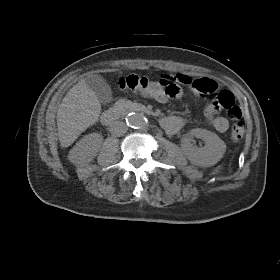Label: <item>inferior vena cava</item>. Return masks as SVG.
Returning a JSON list of instances; mask_svg holds the SVG:
<instances>
[{
	"label": "inferior vena cava",
	"mask_w": 280,
	"mask_h": 280,
	"mask_svg": "<svg viewBox=\"0 0 280 280\" xmlns=\"http://www.w3.org/2000/svg\"><path fill=\"white\" fill-rule=\"evenodd\" d=\"M127 130H128L127 125L124 122H120V121H115L110 126L111 134L118 137L125 134Z\"/></svg>",
	"instance_id": "obj_1"
}]
</instances>
